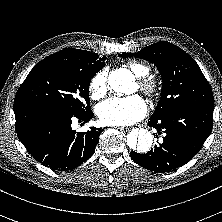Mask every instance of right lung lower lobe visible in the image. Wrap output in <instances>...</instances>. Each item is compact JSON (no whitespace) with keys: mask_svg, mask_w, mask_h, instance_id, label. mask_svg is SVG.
<instances>
[{"mask_svg":"<svg viewBox=\"0 0 222 222\" xmlns=\"http://www.w3.org/2000/svg\"><path fill=\"white\" fill-rule=\"evenodd\" d=\"M16 133L35 160L54 170H72L89 159L98 144L101 129L87 132L71 128L72 120L88 122L91 111L69 113L45 103L14 104Z\"/></svg>","mask_w":222,"mask_h":222,"instance_id":"98d812e1","label":"right lung lower lobe"}]
</instances>
